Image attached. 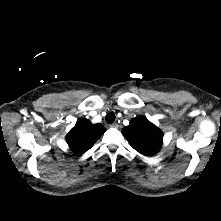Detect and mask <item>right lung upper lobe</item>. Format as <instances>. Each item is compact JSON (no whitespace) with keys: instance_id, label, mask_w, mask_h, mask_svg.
Wrapping results in <instances>:
<instances>
[{"instance_id":"1","label":"right lung upper lobe","mask_w":221,"mask_h":221,"mask_svg":"<svg viewBox=\"0 0 221 221\" xmlns=\"http://www.w3.org/2000/svg\"><path fill=\"white\" fill-rule=\"evenodd\" d=\"M105 131L101 124H92L88 119H80L67 134L66 140L75 153L82 154L90 149Z\"/></svg>"}]
</instances>
